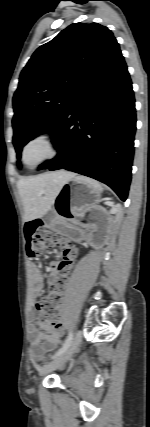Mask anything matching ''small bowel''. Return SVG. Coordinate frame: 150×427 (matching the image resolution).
<instances>
[{"label":"small bowel","mask_w":150,"mask_h":427,"mask_svg":"<svg viewBox=\"0 0 150 427\" xmlns=\"http://www.w3.org/2000/svg\"><path fill=\"white\" fill-rule=\"evenodd\" d=\"M73 259H71L72 263ZM64 259L62 261H53L50 264L51 273L49 276V283L52 285L61 274V268ZM71 263H69L71 266ZM31 280L33 286L37 292H41L44 288V277L41 271L35 264L30 265ZM41 331L34 325H31L28 329V337L30 342V354L32 358L39 360L43 357L44 353L51 351L59 343V335L54 329L47 326L43 321L39 322Z\"/></svg>","instance_id":"small-bowel-1"}]
</instances>
